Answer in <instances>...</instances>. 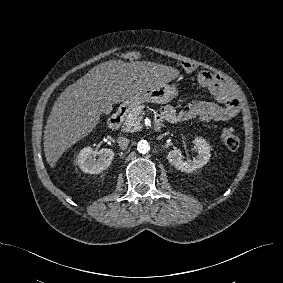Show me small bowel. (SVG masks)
<instances>
[{"label": "small bowel", "mask_w": 283, "mask_h": 283, "mask_svg": "<svg viewBox=\"0 0 283 283\" xmlns=\"http://www.w3.org/2000/svg\"><path fill=\"white\" fill-rule=\"evenodd\" d=\"M185 66L188 72L195 70L191 64L185 63ZM197 79L199 84L207 88L214 96V102L194 101L179 111L170 106L164 107L156 114L162 122L168 121L175 124L190 120L221 121L234 117L239 112V101L220 77L209 71L201 70L197 72Z\"/></svg>", "instance_id": "1"}]
</instances>
